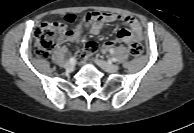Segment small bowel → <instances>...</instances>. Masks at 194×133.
<instances>
[{"instance_id":"obj_1","label":"small bowel","mask_w":194,"mask_h":133,"mask_svg":"<svg viewBox=\"0 0 194 133\" xmlns=\"http://www.w3.org/2000/svg\"><path fill=\"white\" fill-rule=\"evenodd\" d=\"M116 21L124 23L127 28H122L117 32L116 40L105 42L101 46L102 53L106 54L113 51L117 43L130 45L132 42H142V26L136 18L127 15H117L96 11L83 14L80 21L73 29L66 32V34L60 39V42L74 43L79 41L84 28H88L91 34L98 35L106 23Z\"/></svg>"}]
</instances>
